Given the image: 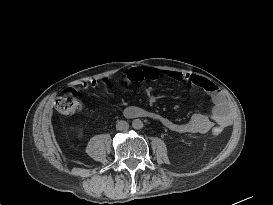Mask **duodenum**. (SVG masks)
Wrapping results in <instances>:
<instances>
[{
	"instance_id": "1",
	"label": "duodenum",
	"mask_w": 273,
	"mask_h": 205,
	"mask_svg": "<svg viewBox=\"0 0 273 205\" xmlns=\"http://www.w3.org/2000/svg\"><path fill=\"white\" fill-rule=\"evenodd\" d=\"M126 113L128 114L127 110H126ZM142 115H143V113H142V112H139L137 115H135V117H137V116H142Z\"/></svg>"
}]
</instances>
